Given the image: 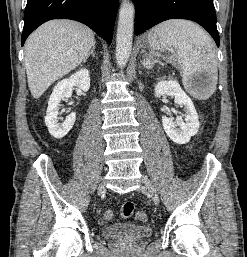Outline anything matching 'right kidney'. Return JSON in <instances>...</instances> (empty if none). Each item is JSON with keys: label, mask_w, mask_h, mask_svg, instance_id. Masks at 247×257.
Masks as SVG:
<instances>
[{"label": "right kidney", "mask_w": 247, "mask_h": 257, "mask_svg": "<svg viewBox=\"0 0 247 257\" xmlns=\"http://www.w3.org/2000/svg\"><path fill=\"white\" fill-rule=\"evenodd\" d=\"M74 86L84 92L89 90L90 74L87 69H81L69 78L59 81L49 98L45 124L48 127L49 133L56 139L66 136L75 123L76 113L67 116L63 123H58L59 103L61 99L71 97Z\"/></svg>", "instance_id": "1"}]
</instances>
